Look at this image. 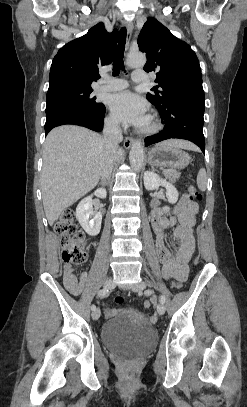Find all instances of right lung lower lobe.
<instances>
[{"label":"right lung lower lobe","mask_w":247,"mask_h":407,"mask_svg":"<svg viewBox=\"0 0 247 407\" xmlns=\"http://www.w3.org/2000/svg\"><path fill=\"white\" fill-rule=\"evenodd\" d=\"M105 106L91 112L76 108L56 110L46 114L45 134L56 126L75 124L100 132L103 130Z\"/></svg>","instance_id":"right-lung-lower-lobe-1"}]
</instances>
